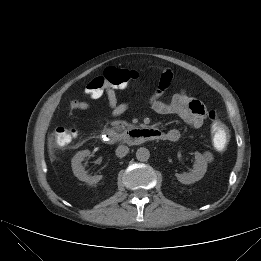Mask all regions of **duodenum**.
Listing matches in <instances>:
<instances>
[{
	"instance_id": "duodenum-1",
	"label": "duodenum",
	"mask_w": 261,
	"mask_h": 261,
	"mask_svg": "<svg viewBox=\"0 0 261 261\" xmlns=\"http://www.w3.org/2000/svg\"><path fill=\"white\" fill-rule=\"evenodd\" d=\"M101 138L109 144L123 141L127 144L138 145L146 141L161 139L162 135L155 129H130L120 133L112 127H106L101 132Z\"/></svg>"
}]
</instances>
